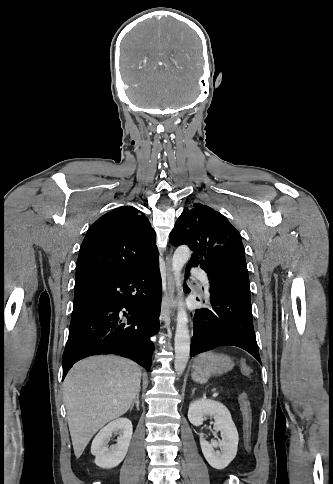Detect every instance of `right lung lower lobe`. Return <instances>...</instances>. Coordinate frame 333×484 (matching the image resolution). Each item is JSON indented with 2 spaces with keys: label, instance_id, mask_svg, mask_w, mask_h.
<instances>
[{
  "label": "right lung lower lobe",
  "instance_id": "obj_1",
  "mask_svg": "<svg viewBox=\"0 0 333 484\" xmlns=\"http://www.w3.org/2000/svg\"><path fill=\"white\" fill-rule=\"evenodd\" d=\"M161 277L158 261L131 274H95L75 279L63 379L78 360L99 354L133 359L147 370L159 329Z\"/></svg>",
  "mask_w": 333,
  "mask_h": 484
}]
</instances>
